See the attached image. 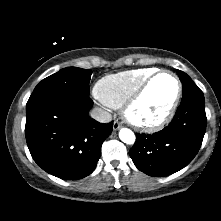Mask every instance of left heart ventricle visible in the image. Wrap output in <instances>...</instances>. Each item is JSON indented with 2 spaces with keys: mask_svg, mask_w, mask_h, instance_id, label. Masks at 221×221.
Instances as JSON below:
<instances>
[{
  "mask_svg": "<svg viewBox=\"0 0 221 221\" xmlns=\"http://www.w3.org/2000/svg\"><path fill=\"white\" fill-rule=\"evenodd\" d=\"M176 90V82L170 75L163 74L158 76L133 109V117L137 120L148 122L159 119L170 107Z\"/></svg>",
  "mask_w": 221,
  "mask_h": 221,
  "instance_id": "b2bd125f",
  "label": "left heart ventricle"
}]
</instances>
